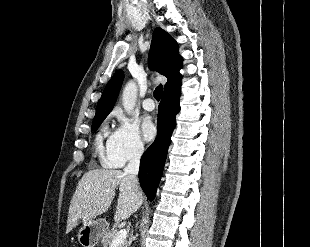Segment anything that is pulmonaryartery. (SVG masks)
Segmentation results:
<instances>
[{"label":"pulmonary artery","instance_id":"obj_1","mask_svg":"<svg viewBox=\"0 0 310 247\" xmlns=\"http://www.w3.org/2000/svg\"><path fill=\"white\" fill-rule=\"evenodd\" d=\"M143 108L147 111H152L155 108L154 101L151 98H147L143 101Z\"/></svg>","mask_w":310,"mask_h":247}]
</instances>
